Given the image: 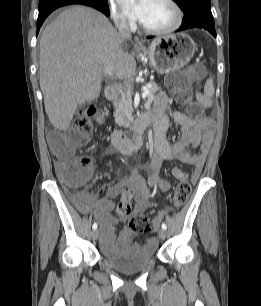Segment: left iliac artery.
<instances>
[{
	"instance_id": "1",
	"label": "left iliac artery",
	"mask_w": 261,
	"mask_h": 306,
	"mask_svg": "<svg viewBox=\"0 0 261 306\" xmlns=\"http://www.w3.org/2000/svg\"><path fill=\"white\" fill-rule=\"evenodd\" d=\"M162 229L166 230L167 229V226L165 223H162Z\"/></svg>"
}]
</instances>
